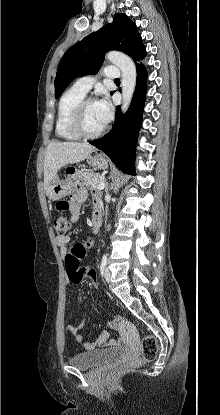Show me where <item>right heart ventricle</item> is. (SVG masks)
Here are the masks:
<instances>
[{"label":"right heart ventricle","mask_w":220,"mask_h":415,"mask_svg":"<svg viewBox=\"0 0 220 415\" xmlns=\"http://www.w3.org/2000/svg\"><path fill=\"white\" fill-rule=\"evenodd\" d=\"M85 98V94L73 87L61 96L55 121V134L64 140H77L79 137L70 129L69 121L73 109Z\"/></svg>","instance_id":"1"}]
</instances>
